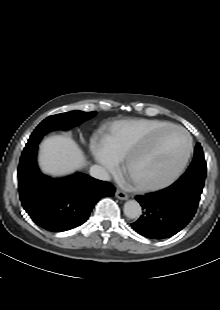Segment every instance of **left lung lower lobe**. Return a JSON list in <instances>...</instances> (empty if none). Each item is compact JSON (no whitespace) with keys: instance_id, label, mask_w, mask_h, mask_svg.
Segmentation results:
<instances>
[{"instance_id":"0a47b994","label":"left lung lower lobe","mask_w":220,"mask_h":310,"mask_svg":"<svg viewBox=\"0 0 220 310\" xmlns=\"http://www.w3.org/2000/svg\"><path fill=\"white\" fill-rule=\"evenodd\" d=\"M204 184L177 180L158 192L137 196L143 214L132 227L151 239L169 238L182 230L193 218Z\"/></svg>"}]
</instances>
